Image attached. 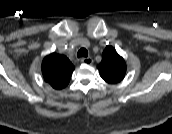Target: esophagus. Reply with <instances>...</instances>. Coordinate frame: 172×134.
<instances>
[{"mask_svg":"<svg viewBox=\"0 0 172 134\" xmlns=\"http://www.w3.org/2000/svg\"><path fill=\"white\" fill-rule=\"evenodd\" d=\"M81 62L85 65H92L93 64V59L91 57H87V58H82Z\"/></svg>","mask_w":172,"mask_h":134,"instance_id":"1","label":"esophagus"}]
</instances>
